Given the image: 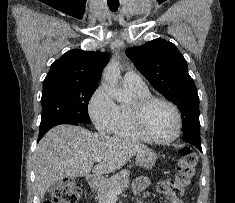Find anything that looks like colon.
I'll return each mask as SVG.
<instances>
[{"mask_svg": "<svg viewBox=\"0 0 235 203\" xmlns=\"http://www.w3.org/2000/svg\"><path fill=\"white\" fill-rule=\"evenodd\" d=\"M179 155L178 167L174 175L158 185L159 191L171 199H180L196 174V154L185 147L179 151ZM80 197L81 191L75 181L65 179L45 203H78Z\"/></svg>", "mask_w": 235, "mask_h": 203, "instance_id": "obj_1", "label": "colon"}]
</instances>
